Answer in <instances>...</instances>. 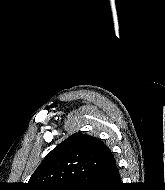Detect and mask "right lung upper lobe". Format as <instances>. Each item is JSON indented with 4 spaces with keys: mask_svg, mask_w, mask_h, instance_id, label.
<instances>
[{
    "mask_svg": "<svg viewBox=\"0 0 165 190\" xmlns=\"http://www.w3.org/2000/svg\"><path fill=\"white\" fill-rule=\"evenodd\" d=\"M112 159V152L101 140L79 132L47 154L25 188L49 190L79 182L88 172Z\"/></svg>",
    "mask_w": 165,
    "mask_h": 190,
    "instance_id": "obj_1",
    "label": "right lung upper lobe"
}]
</instances>
